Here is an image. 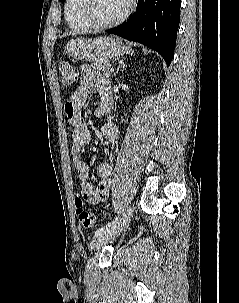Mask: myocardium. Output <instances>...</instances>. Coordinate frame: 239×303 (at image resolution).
I'll return each instance as SVG.
<instances>
[{
	"instance_id": "1",
	"label": "myocardium",
	"mask_w": 239,
	"mask_h": 303,
	"mask_svg": "<svg viewBox=\"0 0 239 303\" xmlns=\"http://www.w3.org/2000/svg\"><path fill=\"white\" fill-rule=\"evenodd\" d=\"M92 3L93 0H80L78 12L82 21L89 27L95 29L111 28L123 23L128 18L133 9V0H128L126 10L119 17L108 22H98L93 19L90 13Z\"/></svg>"
}]
</instances>
